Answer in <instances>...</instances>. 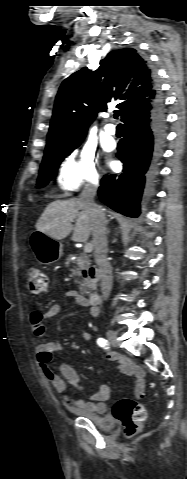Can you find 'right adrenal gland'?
<instances>
[{"mask_svg":"<svg viewBox=\"0 0 187 479\" xmlns=\"http://www.w3.org/2000/svg\"><path fill=\"white\" fill-rule=\"evenodd\" d=\"M107 233H108V234L110 233V230H109V229L107 230Z\"/></svg>","mask_w":187,"mask_h":479,"instance_id":"1","label":"right adrenal gland"}]
</instances>
